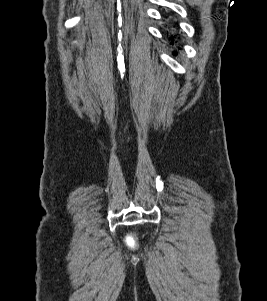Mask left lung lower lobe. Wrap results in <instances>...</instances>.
<instances>
[{"mask_svg":"<svg viewBox=\"0 0 267 301\" xmlns=\"http://www.w3.org/2000/svg\"><path fill=\"white\" fill-rule=\"evenodd\" d=\"M171 42L173 43V38H171Z\"/></svg>","mask_w":267,"mask_h":301,"instance_id":"obj_1","label":"left lung lower lobe"}]
</instances>
